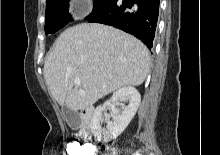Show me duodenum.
Returning a JSON list of instances; mask_svg holds the SVG:
<instances>
[{"mask_svg": "<svg viewBox=\"0 0 220 155\" xmlns=\"http://www.w3.org/2000/svg\"><path fill=\"white\" fill-rule=\"evenodd\" d=\"M93 115V108L87 107L80 110V118L82 126L80 129V137L83 140H88L91 137L90 122Z\"/></svg>", "mask_w": 220, "mask_h": 155, "instance_id": "410a0bca", "label": "duodenum"}]
</instances>
